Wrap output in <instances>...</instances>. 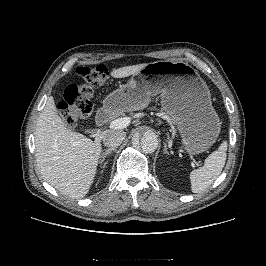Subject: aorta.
Returning a JSON list of instances; mask_svg holds the SVG:
<instances>
[{
    "instance_id": "1",
    "label": "aorta",
    "mask_w": 266,
    "mask_h": 266,
    "mask_svg": "<svg viewBox=\"0 0 266 266\" xmlns=\"http://www.w3.org/2000/svg\"><path fill=\"white\" fill-rule=\"evenodd\" d=\"M133 145H140L145 153H153L159 145V139L156 133L152 130H143L139 133L138 137L133 140Z\"/></svg>"
}]
</instances>
